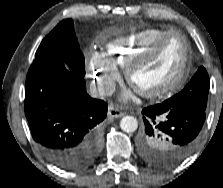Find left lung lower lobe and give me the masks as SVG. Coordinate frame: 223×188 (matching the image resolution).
<instances>
[{"label": "left lung lower lobe", "mask_w": 223, "mask_h": 188, "mask_svg": "<svg viewBox=\"0 0 223 188\" xmlns=\"http://www.w3.org/2000/svg\"><path fill=\"white\" fill-rule=\"evenodd\" d=\"M142 113L143 133L153 134L158 131L172 145L169 157L171 164L183 160L195 149L206 118L205 111L191 107H171L163 103L146 107Z\"/></svg>", "instance_id": "0a47b994"}]
</instances>
